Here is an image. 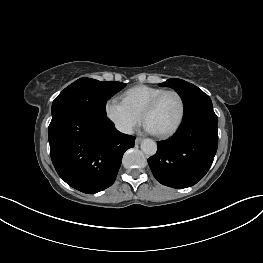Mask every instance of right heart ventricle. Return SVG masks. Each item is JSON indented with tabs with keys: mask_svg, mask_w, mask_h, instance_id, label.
<instances>
[{
	"mask_svg": "<svg viewBox=\"0 0 263 263\" xmlns=\"http://www.w3.org/2000/svg\"><path fill=\"white\" fill-rule=\"evenodd\" d=\"M165 89L147 85H138L126 90L122 95V101L133 112L142 116L147 104Z\"/></svg>",
	"mask_w": 263,
	"mask_h": 263,
	"instance_id": "1",
	"label": "right heart ventricle"
}]
</instances>
